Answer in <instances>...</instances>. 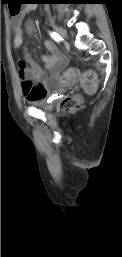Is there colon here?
<instances>
[{
  "instance_id": "obj_1",
  "label": "colon",
  "mask_w": 122,
  "mask_h": 257,
  "mask_svg": "<svg viewBox=\"0 0 122 257\" xmlns=\"http://www.w3.org/2000/svg\"><path fill=\"white\" fill-rule=\"evenodd\" d=\"M7 10H14V14H17L19 10H23V5H7ZM18 67H26V64H17ZM73 73V74H71ZM80 79L83 87L86 91L92 92L96 88V76L93 72L88 71L79 75L78 71L73 67H65L60 74V79L57 80L58 84H62L63 87H77V82H73L74 79ZM81 100L77 96L66 98L63 101V108L67 111H74L80 107Z\"/></svg>"
}]
</instances>
